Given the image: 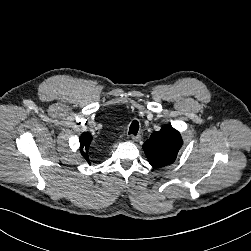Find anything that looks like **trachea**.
<instances>
[{
    "instance_id": "trachea-1",
    "label": "trachea",
    "mask_w": 251,
    "mask_h": 251,
    "mask_svg": "<svg viewBox=\"0 0 251 251\" xmlns=\"http://www.w3.org/2000/svg\"><path fill=\"white\" fill-rule=\"evenodd\" d=\"M138 130H139V123L137 120H134L129 127V135L130 134L136 135L138 133Z\"/></svg>"
}]
</instances>
